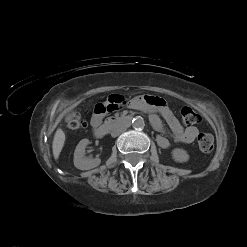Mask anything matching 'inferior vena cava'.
<instances>
[{"label":"inferior vena cava","instance_id":"1","mask_svg":"<svg viewBox=\"0 0 247 247\" xmlns=\"http://www.w3.org/2000/svg\"><path fill=\"white\" fill-rule=\"evenodd\" d=\"M126 130V126H116L111 130V136L117 137Z\"/></svg>","mask_w":247,"mask_h":247}]
</instances>
